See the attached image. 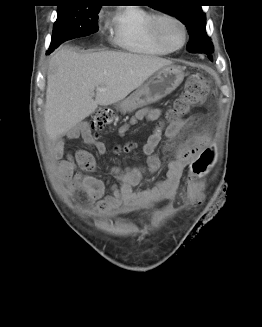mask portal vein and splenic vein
<instances>
[{"mask_svg":"<svg viewBox=\"0 0 262 327\" xmlns=\"http://www.w3.org/2000/svg\"><path fill=\"white\" fill-rule=\"evenodd\" d=\"M96 91H105V89L98 87V88H96Z\"/></svg>","mask_w":262,"mask_h":327,"instance_id":"portal-vein-and-splenic-vein-1","label":"portal vein and splenic vein"}]
</instances>
